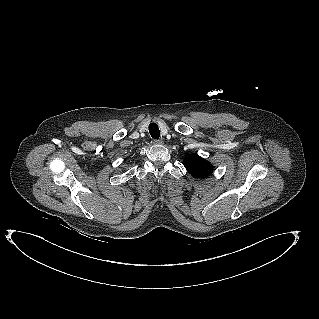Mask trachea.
I'll return each instance as SVG.
<instances>
[{"label":"trachea","mask_w":319,"mask_h":319,"mask_svg":"<svg viewBox=\"0 0 319 319\" xmlns=\"http://www.w3.org/2000/svg\"><path fill=\"white\" fill-rule=\"evenodd\" d=\"M149 132H150V135L152 138L159 139L160 131H159V127L156 123H151L149 125Z\"/></svg>","instance_id":"obj_1"}]
</instances>
